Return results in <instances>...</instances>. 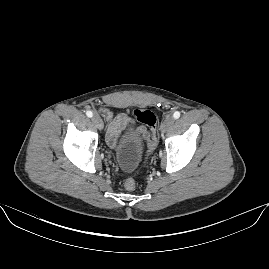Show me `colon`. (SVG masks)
Wrapping results in <instances>:
<instances>
[{"instance_id": "obj_1", "label": "colon", "mask_w": 269, "mask_h": 269, "mask_svg": "<svg viewBox=\"0 0 269 269\" xmlns=\"http://www.w3.org/2000/svg\"><path fill=\"white\" fill-rule=\"evenodd\" d=\"M132 114L135 121L147 127L148 132L144 140L150 147V150L147 152V155H149L157 144V117L152 111L146 108H135ZM123 186L127 191H133L137 186V182L133 178H127L124 180Z\"/></svg>"}]
</instances>
